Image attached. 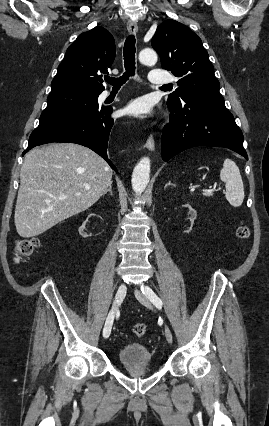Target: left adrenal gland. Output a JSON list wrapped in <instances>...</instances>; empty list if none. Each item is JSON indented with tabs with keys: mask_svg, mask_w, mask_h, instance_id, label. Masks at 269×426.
Wrapping results in <instances>:
<instances>
[{
	"mask_svg": "<svg viewBox=\"0 0 269 426\" xmlns=\"http://www.w3.org/2000/svg\"><path fill=\"white\" fill-rule=\"evenodd\" d=\"M167 186H175V184L171 183V181H169L164 188H166Z\"/></svg>",
	"mask_w": 269,
	"mask_h": 426,
	"instance_id": "obj_1",
	"label": "left adrenal gland"
}]
</instances>
